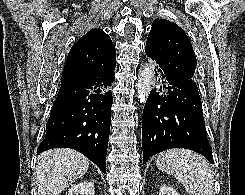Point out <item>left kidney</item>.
Here are the masks:
<instances>
[{
	"label": "left kidney",
	"instance_id": "obj_1",
	"mask_svg": "<svg viewBox=\"0 0 245 195\" xmlns=\"http://www.w3.org/2000/svg\"><path fill=\"white\" fill-rule=\"evenodd\" d=\"M159 195H179L174 188L163 185L160 187Z\"/></svg>",
	"mask_w": 245,
	"mask_h": 195
}]
</instances>
